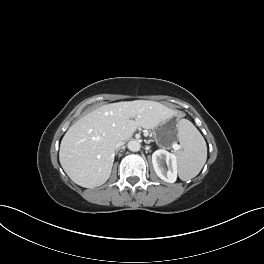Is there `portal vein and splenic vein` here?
<instances>
[{
	"label": "portal vein and splenic vein",
	"mask_w": 264,
	"mask_h": 264,
	"mask_svg": "<svg viewBox=\"0 0 264 264\" xmlns=\"http://www.w3.org/2000/svg\"><path fill=\"white\" fill-rule=\"evenodd\" d=\"M172 148H173L174 150H178L180 147H179V145H178L177 143H174V144L172 145Z\"/></svg>",
	"instance_id": "18ae733b"
}]
</instances>
